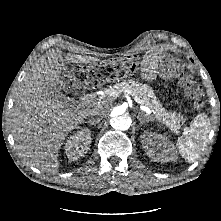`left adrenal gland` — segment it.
Returning <instances> with one entry per match:
<instances>
[{"instance_id":"1","label":"left adrenal gland","mask_w":221,"mask_h":221,"mask_svg":"<svg viewBox=\"0 0 221 221\" xmlns=\"http://www.w3.org/2000/svg\"><path fill=\"white\" fill-rule=\"evenodd\" d=\"M144 117L146 118L145 120L143 118H141L140 114L137 116V118L141 124H144L145 122L152 121V119L148 115H144Z\"/></svg>"}]
</instances>
